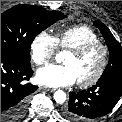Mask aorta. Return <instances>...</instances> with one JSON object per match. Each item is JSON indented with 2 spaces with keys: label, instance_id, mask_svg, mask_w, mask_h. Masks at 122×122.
Listing matches in <instances>:
<instances>
[{
  "label": "aorta",
  "instance_id": "1",
  "mask_svg": "<svg viewBox=\"0 0 122 122\" xmlns=\"http://www.w3.org/2000/svg\"><path fill=\"white\" fill-rule=\"evenodd\" d=\"M54 100L56 103L62 104L66 101V93L62 90H57L54 93Z\"/></svg>",
  "mask_w": 122,
  "mask_h": 122
}]
</instances>
